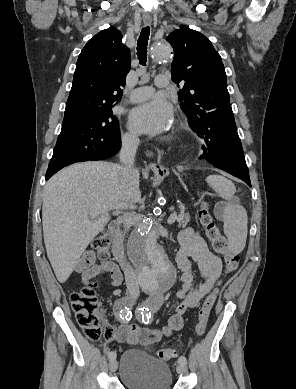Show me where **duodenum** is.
<instances>
[{
  "label": "duodenum",
  "instance_id": "duodenum-1",
  "mask_svg": "<svg viewBox=\"0 0 296 389\" xmlns=\"http://www.w3.org/2000/svg\"><path fill=\"white\" fill-rule=\"evenodd\" d=\"M108 230L112 238V252L115 259L126 270L128 266V259L126 256L123 238L121 235L120 224L117 221H111L108 225Z\"/></svg>",
  "mask_w": 296,
  "mask_h": 389
}]
</instances>
